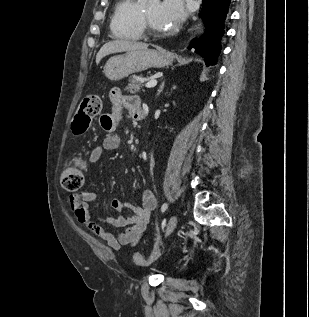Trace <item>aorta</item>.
Returning <instances> with one entry per match:
<instances>
[{
    "label": "aorta",
    "instance_id": "1",
    "mask_svg": "<svg viewBox=\"0 0 309 317\" xmlns=\"http://www.w3.org/2000/svg\"><path fill=\"white\" fill-rule=\"evenodd\" d=\"M148 2H158L159 0H147Z\"/></svg>",
    "mask_w": 309,
    "mask_h": 317
}]
</instances>
